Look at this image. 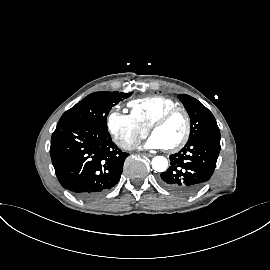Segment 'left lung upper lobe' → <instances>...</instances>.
Segmentation results:
<instances>
[{"instance_id": "obj_1", "label": "left lung upper lobe", "mask_w": 270, "mask_h": 270, "mask_svg": "<svg viewBox=\"0 0 270 270\" xmlns=\"http://www.w3.org/2000/svg\"><path fill=\"white\" fill-rule=\"evenodd\" d=\"M178 98L183 103L191 120L188 141L202 136L220 137V130L214 116L201 102L186 94H180Z\"/></svg>"}]
</instances>
